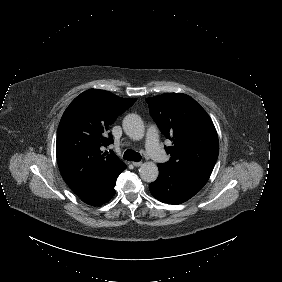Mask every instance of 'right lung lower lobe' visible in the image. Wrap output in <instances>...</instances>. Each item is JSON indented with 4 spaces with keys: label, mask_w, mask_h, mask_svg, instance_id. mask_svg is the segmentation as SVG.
Masks as SVG:
<instances>
[{
    "label": "right lung lower lobe",
    "mask_w": 282,
    "mask_h": 282,
    "mask_svg": "<svg viewBox=\"0 0 282 282\" xmlns=\"http://www.w3.org/2000/svg\"><path fill=\"white\" fill-rule=\"evenodd\" d=\"M124 169H126V166L114 174L102 177L101 179L95 181L86 193L79 196L81 200L94 206L108 202L115 195L114 186L116 184L117 177Z\"/></svg>",
    "instance_id": "98d812e1"
}]
</instances>
